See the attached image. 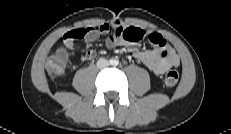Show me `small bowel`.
Masks as SVG:
<instances>
[{
	"label": "small bowel",
	"mask_w": 231,
	"mask_h": 134,
	"mask_svg": "<svg viewBox=\"0 0 231 134\" xmlns=\"http://www.w3.org/2000/svg\"><path fill=\"white\" fill-rule=\"evenodd\" d=\"M112 31L106 39L105 44L108 48H115L124 45H135L141 39L147 40L154 46L152 50H136L134 58L142 62L151 72L162 75L170 68L178 67L180 58L175 49L167 43L165 38L156 33L148 32L134 26H124L119 21L102 24L91 28H78L68 31L63 36V42L67 49H75V40L83 39L86 44L95 41L101 34ZM96 56L94 50H88L81 56L82 61H88Z\"/></svg>",
	"instance_id": "obj_1"
}]
</instances>
